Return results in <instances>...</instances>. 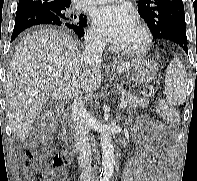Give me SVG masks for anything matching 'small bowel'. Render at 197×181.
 <instances>
[{"label":"small bowel","instance_id":"1","mask_svg":"<svg viewBox=\"0 0 197 181\" xmlns=\"http://www.w3.org/2000/svg\"><path fill=\"white\" fill-rule=\"evenodd\" d=\"M172 128L148 117L136 121L133 139L138 154L126 165L122 181H171L173 176Z\"/></svg>","mask_w":197,"mask_h":181}]
</instances>
